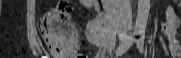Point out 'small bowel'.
<instances>
[{
    "mask_svg": "<svg viewBox=\"0 0 181 58\" xmlns=\"http://www.w3.org/2000/svg\"><path fill=\"white\" fill-rule=\"evenodd\" d=\"M76 4L86 9L98 12L100 9L97 0H78ZM179 20L172 7L166 11V19L161 25L162 31L169 39V50L174 58H181V44L178 40ZM99 57V56H98Z\"/></svg>",
    "mask_w": 181,
    "mask_h": 58,
    "instance_id": "c3829d8e",
    "label": "small bowel"
}]
</instances>
